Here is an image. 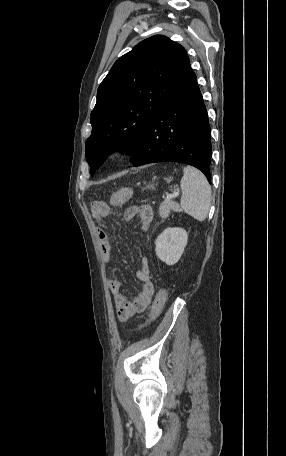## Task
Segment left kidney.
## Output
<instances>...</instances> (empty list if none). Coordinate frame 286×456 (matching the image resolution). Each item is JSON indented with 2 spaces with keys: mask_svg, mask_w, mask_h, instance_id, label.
I'll return each instance as SVG.
<instances>
[{
  "mask_svg": "<svg viewBox=\"0 0 286 456\" xmlns=\"http://www.w3.org/2000/svg\"><path fill=\"white\" fill-rule=\"evenodd\" d=\"M188 234L182 228H167L155 241L157 257L167 265L177 263L187 245Z\"/></svg>",
  "mask_w": 286,
  "mask_h": 456,
  "instance_id": "obj_1",
  "label": "left kidney"
}]
</instances>
